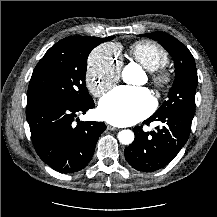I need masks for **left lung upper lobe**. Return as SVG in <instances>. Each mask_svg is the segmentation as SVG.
Wrapping results in <instances>:
<instances>
[{
  "instance_id": "1",
  "label": "left lung upper lobe",
  "mask_w": 217,
  "mask_h": 217,
  "mask_svg": "<svg viewBox=\"0 0 217 217\" xmlns=\"http://www.w3.org/2000/svg\"><path fill=\"white\" fill-rule=\"evenodd\" d=\"M141 36L158 41L170 53L175 63V80L169 91L168 99L153 115H161L171 111L194 115L198 77L191 52L176 38L164 32H153Z\"/></svg>"
}]
</instances>
